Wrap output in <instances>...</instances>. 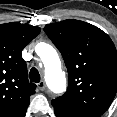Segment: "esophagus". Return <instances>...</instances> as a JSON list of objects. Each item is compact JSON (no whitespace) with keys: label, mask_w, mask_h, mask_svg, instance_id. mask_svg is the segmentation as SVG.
<instances>
[{"label":"esophagus","mask_w":117,"mask_h":117,"mask_svg":"<svg viewBox=\"0 0 117 117\" xmlns=\"http://www.w3.org/2000/svg\"><path fill=\"white\" fill-rule=\"evenodd\" d=\"M39 90L43 91L45 90L46 84L45 81L41 80L38 84H37Z\"/></svg>","instance_id":"obj_1"}]
</instances>
